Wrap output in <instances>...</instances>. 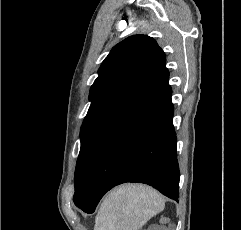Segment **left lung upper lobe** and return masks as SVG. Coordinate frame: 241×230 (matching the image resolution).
Wrapping results in <instances>:
<instances>
[{"label": "left lung upper lobe", "instance_id": "1", "mask_svg": "<svg viewBox=\"0 0 241 230\" xmlns=\"http://www.w3.org/2000/svg\"><path fill=\"white\" fill-rule=\"evenodd\" d=\"M166 57L156 41L133 35L112 48L90 89L92 102L81 127L75 169L74 203H78L88 168L100 149L167 85Z\"/></svg>", "mask_w": 241, "mask_h": 230}]
</instances>
